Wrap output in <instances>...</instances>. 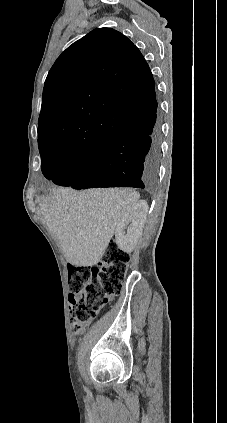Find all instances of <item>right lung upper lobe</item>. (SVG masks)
Wrapping results in <instances>:
<instances>
[{"mask_svg": "<svg viewBox=\"0 0 227 423\" xmlns=\"http://www.w3.org/2000/svg\"><path fill=\"white\" fill-rule=\"evenodd\" d=\"M155 82L139 49L122 33L97 28L68 47L46 78L38 141L88 150L126 130L103 109L148 98Z\"/></svg>", "mask_w": 227, "mask_h": 423, "instance_id": "right-lung-upper-lobe-1", "label": "right lung upper lobe"}]
</instances>
